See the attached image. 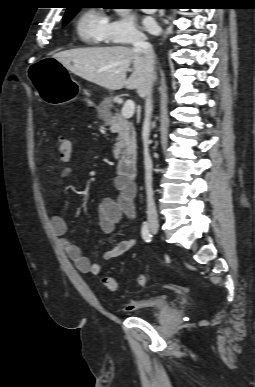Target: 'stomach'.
I'll return each instance as SVG.
<instances>
[{"mask_svg": "<svg viewBox=\"0 0 255 387\" xmlns=\"http://www.w3.org/2000/svg\"><path fill=\"white\" fill-rule=\"evenodd\" d=\"M26 73L31 77L33 91H38L50 105L69 103L75 97L74 80L66 68L54 58L36 61L35 66H26ZM86 101L88 105L93 104L89 99Z\"/></svg>", "mask_w": 255, "mask_h": 387, "instance_id": "1", "label": "stomach"}]
</instances>
